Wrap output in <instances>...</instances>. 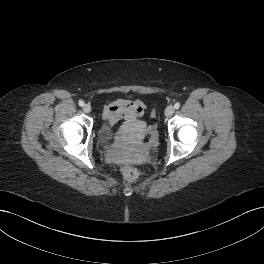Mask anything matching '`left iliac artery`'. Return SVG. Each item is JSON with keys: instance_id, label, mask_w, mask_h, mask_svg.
Segmentation results:
<instances>
[{"instance_id": "left-iliac-artery-1", "label": "left iliac artery", "mask_w": 264, "mask_h": 264, "mask_svg": "<svg viewBox=\"0 0 264 264\" xmlns=\"http://www.w3.org/2000/svg\"><path fill=\"white\" fill-rule=\"evenodd\" d=\"M174 108H175V109H179V108H180V104H179V103H175V104H174Z\"/></svg>"}]
</instances>
